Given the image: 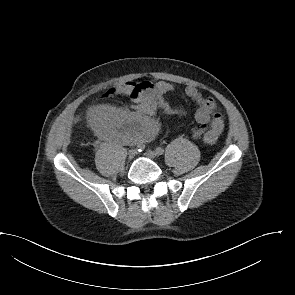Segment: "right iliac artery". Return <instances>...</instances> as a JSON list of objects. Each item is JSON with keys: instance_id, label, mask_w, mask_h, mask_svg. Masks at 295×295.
<instances>
[{"instance_id": "1", "label": "right iliac artery", "mask_w": 295, "mask_h": 295, "mask_svg": "<svg viewBox=\"0 0 295 295\" xmlns=\"http://www.w3.org/2000/svg\"><path fill=\"white\" fill-rule=\"evenodd\" d=\"M137 151L141 152L144 150V146L138 145L136 148Z\"/></svg>"}]
</instances>
